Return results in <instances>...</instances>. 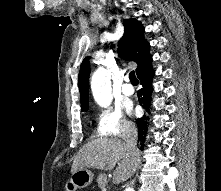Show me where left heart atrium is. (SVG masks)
<instances>
[{"mask_svg": "<svg viewBox=\"0 0 221 191\" xmlns=\"http://www.w3.org/2000/svg\"><path fill=\"white\" fill-rule=\"evenodd\" d=\"M127 110H128V112H131V111H132V108L129 106V107L127 108Z\"/></svg>", "mask_w": 221, "mask_h": 191, "instance_id": "obj_1", "label": "left heart atrium"}]
</instances>
